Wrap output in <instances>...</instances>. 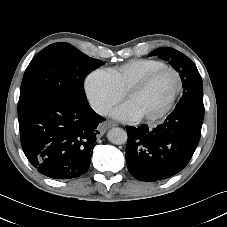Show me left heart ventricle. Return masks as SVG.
<instances>
[{"label": "left heart ventricle", "instance_id": "1", "mask_svg": "<svg viewBox=\"0 0 227 227\" xmlns=\"http://www.w3.org/2000/svg\"><path fill=\"white\" fill-rule=\"evenodd\" d=\"M176 88V75L171 71H165L159 74L143 90L130 96L125 104L138 117H152L164 109Z\"/></svg>", "mask_w": 227, "mask_h": 227}]
</instances>
